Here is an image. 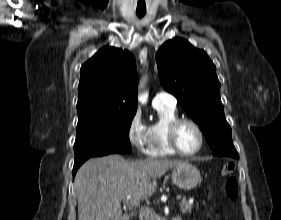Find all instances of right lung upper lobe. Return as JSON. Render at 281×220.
Segmentation results:
<instances>
[{
  "label": "right lung upper lobe",
  "mask_w": 281,
  "mask_h": 220,
  "mask_svg": "<svg viewBox=\"0 0 281 220\" xmlns=\"http://www.w3.org/2000/svg\"><path fill=\"white\" fill-rule=\"evenodd\" d=\"M80 73L78 118L136 113L138 74L128 50L103 47Z\"/></svg>",
  "instance_id": "cb5924a9"
}]
</instances>
